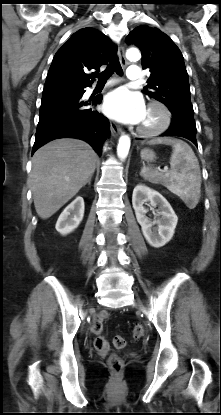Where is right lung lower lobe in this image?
<instances>
[{"instance_id":"right-lung-lower-lobe-1","label":"right lung lower lobe","mask_w":221,"mask_h":415,"mask_svg":"<svg viewBox=\"0 0 221 415\" xmlns=\"http://www.w3.org/2000/svg\"><path fill=\"white\" fill-rule=\"evenodd\" d=\"M84 88L43 93L32 154L51 140L69 137L88 142L101 155L110 132L109 121L87 108L101 103L102 95L83 101Z\"/></svg>"}]
</instances>
